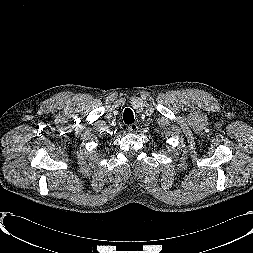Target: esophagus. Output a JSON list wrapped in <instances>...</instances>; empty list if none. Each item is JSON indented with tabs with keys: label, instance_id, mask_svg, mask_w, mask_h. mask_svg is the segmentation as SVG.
Here are the masks:
<instances>
[{
	"label": "esophagus",
	"instance_id": "obj_1",
	"mask_svg": "<svg viewBox=\"0 0 253 253\" xmlns=\"http://www.w3.org/2000/svg\"><path fill=\"white\" fill-rule=\"evenodd\" d=\"M127 129L129 132L134 133L138 130V125L136 123H133L129 125Z\"/></svg>",
	"mask_w": 253,
	"mask_h": 253
}]
</instances>
